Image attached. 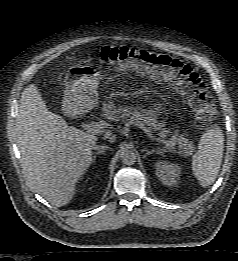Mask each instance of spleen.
<instances>
[{"instance_id":"spleen-1","label":"spleen","mask_w":238,"mask_h":261,"mask_svg":"<svg viewBox=\"0 0 238 261\" xmlns=\"http://www.w3.org/2000/svg\"><path fill=\"white\" fill-rule=\"evenodd\" d=\"M199 150L193 156L192 171L199 184L206 188L213 184L220 170L224 136L218 125H212L202 135Z\"/></svg>"}]
</instances>
